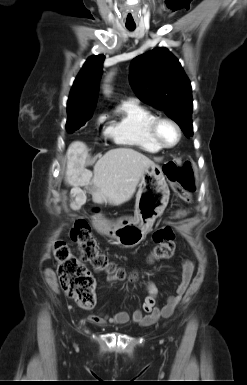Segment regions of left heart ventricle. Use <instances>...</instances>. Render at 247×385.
<instances>
[{
  "label": "left heart ventricle",
  "mask_w": 247,
  "mask_h": 385,
  "mask_svg": "<svg viewBox=\"0 0 247 385\" xmlns=\"http://www.w3.org/2000/svg\"><path fill=\"white\" fill-rule=\"evenodd\" d=\"M160 139L167 145L173 144L177 140V132L174 127L168 123H163L159 128Z\"/></svg>",
  "instance_id": "obj_1"
}]
</instances>
